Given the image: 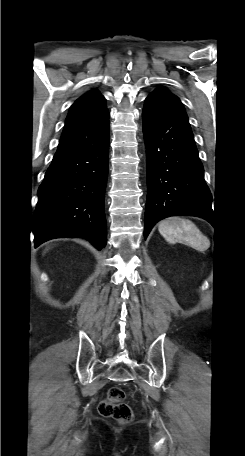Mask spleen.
<instances>
[{
	"mask_svg": "<svg viewBox=\"0 0 245 456\" xmlns=\"http://www.w3.org/2000/svg\"><path fill=\"white\" fill-rule=\"evenodd\" d=\"M158 230L170 243L182 241L198 250L209 247V240L200 232L196 225L180 217H171L160 222Z\"/></svg>",
	"mask_w": 245,
	"mask_h": 456,
	"instance_id": "1",
	"label": "spleen"
}]
</instances>
